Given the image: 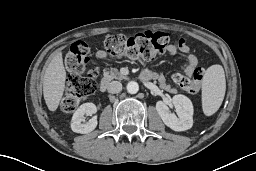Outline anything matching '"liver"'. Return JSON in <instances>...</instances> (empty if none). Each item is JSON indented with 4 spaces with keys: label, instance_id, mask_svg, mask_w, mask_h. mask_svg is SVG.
<instances>
[{
    "label": "liver",
    "instance_id": "obj_1",
    "mask_svg": "<svg viewBox=\"0 0 256 171\" xmlns=\"http://www.w3.org/2000/svg\"><path fill=\"white\" fill-rule=\"evenodd\" d=\"M65 79L62 53L58 52L48 64L43 77V95L50 111H55L59 106L65 88Z\"/></svg>",
    "mask_w": 256,
    "mask_h": 171
}]
</instances>
